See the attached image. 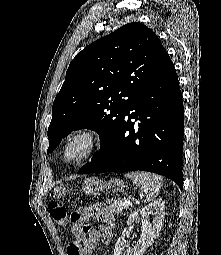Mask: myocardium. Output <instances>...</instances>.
<instances>
[{
  "label": "myocardium",
  "mask_w": 221,
  "mask_h": 255,
  "mask_svg": "<svg viewBox=\"0 0 221 255\" xmlns=\"http://www.w3.org/2000/svg\"><path fill=\"white\" fill-rule=\"evenodd\" d=\"M78 141H84L86 144L84 153L76 160L70 161L67 157L68 149L71 145ZM99 134L98 132L90 127L81 128L75 131L65 142L62 156L66 163L70 165H80L87 160L97 149L99 145Z\"/></svg>",
  "instance_id": "obj_1"
}]
</instances>
